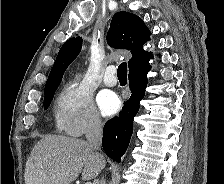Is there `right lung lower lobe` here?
Segmentation results:
<instances>
[{
  "mask_svg": "<svg viewBox=\"0 0 224 184\" xmlns=\"http://www.w3.org/2000/svg\"><path fill=\"white\" fill-rule=\"evenodd\" d=\"M151 66L129 73L131 97L125 102L119 117L108 120L103 129L102 146L105 153L120 162L126 152L133 132V119L138 113L139 103L145 94L147 73Z\"/></svg>",
  "mask_w": 224,
  "mask_h": 184,
  "instance_id": "obj_1",
  "label": "right lung lower lobe"
}]
</instances>
